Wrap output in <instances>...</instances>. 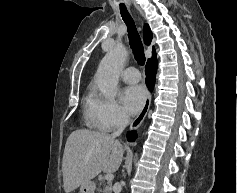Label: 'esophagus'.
<instances>
[{
    "mask_svg": "<svg viewBox=\"0 0 237 193\" xmlns=\"http://www.w3.org/2000/svg\"><path fill=\"white\" fill-rule=\"evenodd\" d=\"M150 104H151V93L148 92L141 111L139 112L137 117L134 119V121L130 125V128H129L130 130H135L141 126V124L143 123V121L148 113Z\"/></svg>",
    "mask_w": 237,
    "mask_h": 193,
    "instance_id": "1",
    "label": "esophagus"
}]
</instances>
